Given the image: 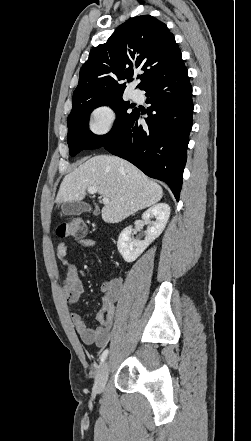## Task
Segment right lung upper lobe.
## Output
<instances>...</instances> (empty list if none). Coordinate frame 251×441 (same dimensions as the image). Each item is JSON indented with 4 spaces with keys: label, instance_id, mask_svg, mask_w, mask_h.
<instances>
[{
    "label": "right lung upper lobe",
    "instance_id": "obj_1",
    "mask_svg": "<svg viewBox=\"0 0 251 441\" xmlns=\"http://www.w3.org/2000/svg\"><path fill=\"white\" fill-rule=\"evenodd\" d=\"M184 66L181 51L167 26L150 15L120 25L105 44L93 48L80 70L73 101L122 96L137 70L143 90L152 81Z\"/></svg>",
    "mask_w": 251,
    "mask_h": 441
}]
</instances>
